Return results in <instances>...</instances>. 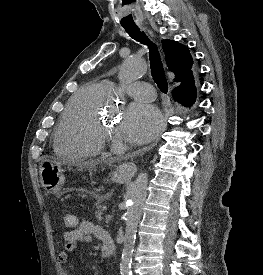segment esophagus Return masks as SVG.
<instances>
[{
  "mask_svg": "<svg viewBox=\"0 0 263 275\" xmlns=\"http://www.w3.org/2000/svg\"><path fill=\"white\" fill-rule=\"evenodd\" d=\"M167 127V115L165 114L164 115V118H163V129H162V132L166 129ZM160 140V135L157 137V139L146 149L144 150H151L157 143L158 141ZM119 171L127 176V177H132L135 175L136 171H137V166L134 162H124L122 163L120 166H119Z\"/></svg>",
  "mask_w": 263,
  "mask_h": 275,
  "instance_id": "esophagus-1",
  "label": "esophagus"
}]
</instances>
